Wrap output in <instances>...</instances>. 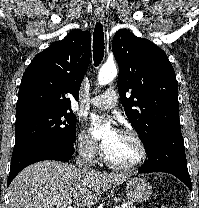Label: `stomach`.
Wrapping results in <instances>:
<instances>
[{"instance_id":"0dacf381","label":"stomach","mask_w":199,"mask_h":208,"mask_svg":"<svg viewBox=\"0 0 199 208\" xmlns=\"http://www.w3.org/2000/svg\"><path fill=\"white\" fill-rule=\"evenodd\" d=\"M126 195L133 201L144 202L152 195V186L141 178L128 179L126 181Z\"/></svg>"}]
</instances>
